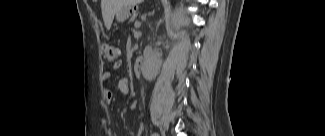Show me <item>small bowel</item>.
<instances>
[{
    "label": "small bowel",
    "instance_id": "c3829d8e",
    "mask_svg": "<svg viewBox=\"0 0 325 136\" xmlns=\"http://www.w3.org/2000/svg\"><path fill=\"white\" fill-rule=\"evenodd\" d=\"M114 68L115 69L119 68V64H114ZM111 77L112 76L110 72H105L102 78L104 81H109ZM117 88L120 91V93H122L125 96L130 94L129 81L126 77H121L118 79ZM103 98L106 103L111 104L114 101L113 91L110 89H105L103 92Z\"/></svg>",
    "mask_w": 325,
    "mask_h": 136
}]
</instances>
